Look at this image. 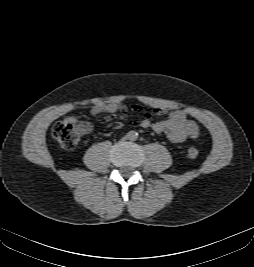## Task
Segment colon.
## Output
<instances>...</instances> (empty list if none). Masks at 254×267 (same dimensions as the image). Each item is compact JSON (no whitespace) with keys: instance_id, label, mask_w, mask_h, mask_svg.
<instances>
[{"instance_id":"colon-1","label":"colon","mask_w":254,"mask_h":267,"mask_svg":"<svg viewBox=\"0 0 254 267\" xmlns=\"http://www.w3.org/2000/svg\"><path fill=\"white\" fill-rule=\"evenodd\" d=\"M89 124L75 117H68L56 122L52 127V136L65 150H73L81 136L88 130ZM188 157L197 158L199 151L196 147H190L187 151Z\"/></svg>"}]
</instances>
